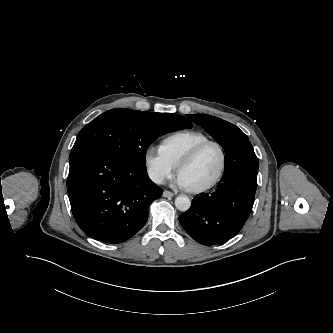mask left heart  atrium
<instances>
[{"label": "left heart atrium", "mask_w": 333, "mask_h": 333, "mask_svg": "<svg viewBox=\"0 0 333 333\" xmlns=\"http://www.w3.org/2000/svg\"><path fill=\"white\" fill-rule=\"evenodd\" d=\"M177 184L180 186V187H183V188H187L184 181L182 180V178L179 176L178 179H177Z\"/></svg>", "instance_id": "1"}]
</instances>
